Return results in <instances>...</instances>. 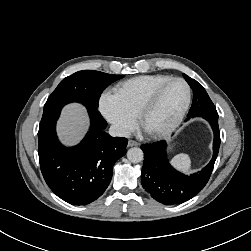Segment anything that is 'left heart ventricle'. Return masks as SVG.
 <instances>
[{
    "label": "left heart ventricle",
    "instance_id": "obj_1",
    "mask_svg": "<svg viewBox=\"0 0 251 251\" xmlns=\"http://www.w3.org/2000/svg\"><path fill=\"white\" fill-rule=\"evenodd\" d=\"M187 98V90L183 83L173 82L161 93L155 107L145 119V128L157 131L168 126L180 113Z\"/></svg>",
    "mask_w": 251,
    "mask_h": 251
}]
</instances>
